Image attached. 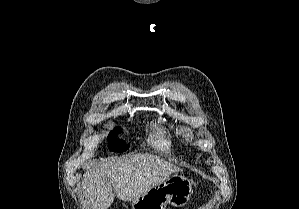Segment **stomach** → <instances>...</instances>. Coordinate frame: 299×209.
<instances>
[{
    "instance_id": "stomach-1",
    "label": "stomach",
    "mask_w": 299,
    "mask_h": 209,
    "mask_svg": "<svg viewBox=\"0 0 299 209\" xmlns=\"http://www.w3.org/2000/svg\"><path fill=\"white\" fill-rule=\"evenodd\" d=\"M193 193V181L174 174L132 201V209H166V205L184 206Z\"/></svg>"
}]
</instances>
